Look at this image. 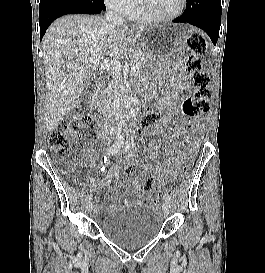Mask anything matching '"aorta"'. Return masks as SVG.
<instances>
[{
	"label": "aorta",
	"instance_id": "1",
	"mask_svg": "<svg viewBox=\"0 0 265 273\" xmlns=\"http://www.w3.org/2000/svg\"><path fill=\"white\" fill-rule=\"evenodd\" d=\"M112 113L114 115V119L117 123H123L124 122V116H123V108H122V96L120 94V90H117L112 95Z\"/></svg>",
	"mask_w": 265,
	"mask_h": 273
}]
</instances>
